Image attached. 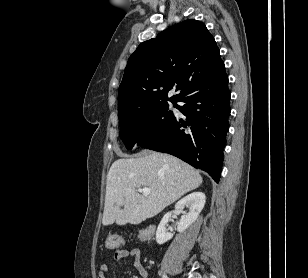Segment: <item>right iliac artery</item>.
<instances>
[{"mask_svg":"<svg viewBox=\"0 0 308 278\" xmlns=\"http://www.w3.org/2000/svg\"><path fill=\"white\" fill-rule=\"evenodd\" d=\"M162 278H167V276L166 275H163V277Z\"/></svg>","mask_w":308,"mask_h":278,"instance_id":"obj_1","label":"right iliac artery"}]
</instances>
